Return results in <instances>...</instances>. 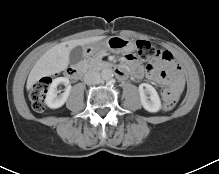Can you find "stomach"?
<instances>
[{"instance_id":"1","label":"stomach","mask_w":219,"mask_h":174,"mask_svg":"<svg viewBox=\"0 0 219 174\" xmlns=\"http://www.w3.org/2000/svg\"><path fill=\"white\" fill-rule=\"evenodd\" d=\"M87 49L91 55L99 52L128 53L135 50V43L121 36H111L101 42L90 43Z\"/></svg>"}]
</instances>
